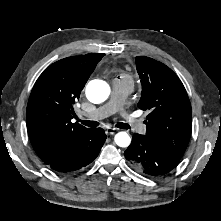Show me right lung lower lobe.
I'll return each instance as SVG.
<instances>
[{"label": "right lung lower lobe", "mask_w": 221, "mask_h": 221, "mask_svg": "<svg viewBox=\"0 0 221 221\" xmlns=\"http://www.w3.org/2000/svg\"><path fill=\"white\" fill-rule=\"evenodd\" d=\"M105 140L106 135L102 128L91 129L81 142L49 164L48 167L60 174L79 171L98 156Z\"/></svg>", "instance_id": "obj_1"}]
</instances>
